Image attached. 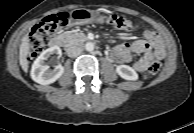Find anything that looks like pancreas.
Masks as SVG:
<instances>
[{
    "instance_id": "cf45deb5",
    "label": "pancreas",
    "mask_w": 194,
    "mask_h": 133,
    "mask_svg": "<svg viewBox=\"0 0 194 133\" xmlns=\"http://www.w3.org/2000/svg\"><path fill=\"white\" fill-rule=\"evenodd\" d=\"M63 37L69 44H76L80 41H83L86 39V36L84 33H77V32H72V31H67L63 34Z\"/></svg>"
}]
</instances>
